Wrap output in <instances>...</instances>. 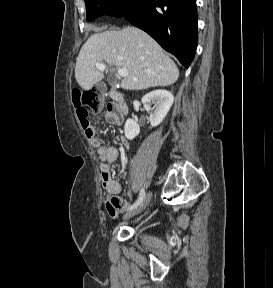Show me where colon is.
I'll list each match as a JSON object with an SVG mask.
<instances>
[{
  "label": "colon",
  "mask_w": 273,
  "mask_h": 288,
  "mask_svg": "<svg viewBox=\"0 0 273 288\" xmlns=\"http://www.w3.org/2000/svg\"><path fill=\"white\" fill-rule=\"evenodd\" d=\"M72 102L77 111V116L83 129L90 126L89 117L91 113H97L102 109L103 102L98 89L81 91L75 89L72 92Z\"/></svg>",
  "instance_id": "5ec220e1"
}]
</instances>
